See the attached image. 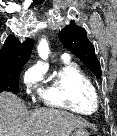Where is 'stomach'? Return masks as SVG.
<instances>
[{
    "instance_id": "0dacf381",
    "label": "stomach",
    "mask_w": 117,
    "mask_h": 136,
    "mask_svg": "<svg viewBox=\"0 0 117 136\" xmlns=\"http://www.w3.org/2000/svg\"><path fill=\"white\" fill-rule=\"evenodd\" d=\"M71 136H89V133L84 128L75 130Z\"/></svg>"
}]
</instances>
